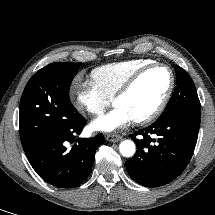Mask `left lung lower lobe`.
I'll use <instances>...</instances> for the list:
<instances>
[{
	"mask_svg": "<svg viewBox=\"0 0 215 215\" xmlns=\"http://www.w3.org/2000/svg\"><path fill=\"white\" fill-rule=\"evenodd\" d=\"M199 126L200 117L173 114L159 117L149 127L131 134L137 152L126 162L129 176L146 187H158L174 180L192 157Z\"/></svg>",
	"mask_w": 215,
	"mask_h": 215,
	"instance_id": "left-lung-lower-lobe-1",
	"label": "left lung lower lobe"
}]
</instances>
